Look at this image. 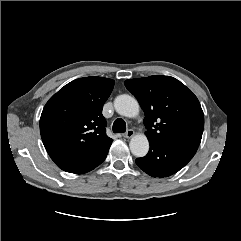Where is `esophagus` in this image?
Here are the masks:
<instances>
[{
    "label": "esophagus",
    "instance_id": "1",
    "mask_svg": "<svg viewBox=\"0 0 241 241\" xmlns=\"http://www.w3.org/2000/svg\"><path fill=\"white\" fill-rule=\"evenodd\" d=\"M134 134H135L134 130L128 129V130L124 133V137H125V138H131V137L134 136Z\"/></svg>",
    "mask_w": 241,
    "mask_h": 241
}]
</instances>
